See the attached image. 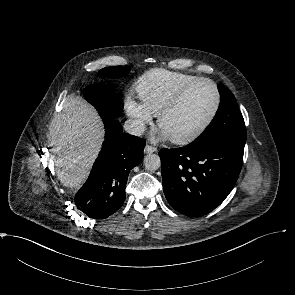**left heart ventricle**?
I'll use <instances>...</instances> for the list:
<instances>
[{
  "mask_svg": "<svg viewBox=\"0 0 295 295\" xmlns=\"http://www.w3.org/2000/svg\"><path fill=\"white\" fill-rule=\"evenodd\" d=\"M215 104L214 89L207 83H200L185 96L173 112L165 117L161 129L171 139L184 138L205 124Z\"/></svg>",
  "mask_w": 295,
  "mask_h": 295,
  "instance_id": "obj_1",
  "label": "left heart ventricle"
}]
</instances>
